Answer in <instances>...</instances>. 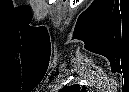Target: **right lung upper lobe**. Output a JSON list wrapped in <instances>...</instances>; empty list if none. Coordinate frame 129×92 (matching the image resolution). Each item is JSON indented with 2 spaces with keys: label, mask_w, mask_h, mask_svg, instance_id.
<instances>
[{
  "label": "right lung upper lobe",
  "mask_w": 129,
  "mask_h": 92,
  "mask_svg": "<svg viewBox=\"0 0 129 92\" xmlns=\"http://www.w3.org/2000/svg\"><path fill=\"white\" fill-rule=\"evenodd\" d=\"M80 89H81V87L78 85L65 86L60 90V92H70L73 90H80Z\"/></svg>",
  "instance_id": "1"
}]
</instances>
